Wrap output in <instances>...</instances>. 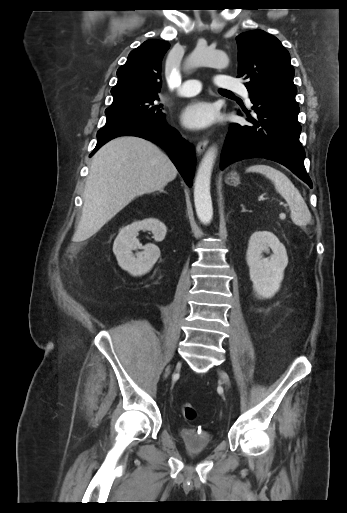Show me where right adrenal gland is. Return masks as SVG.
Returning <instances> with one entry per match:
<instances>
[{
	"label": "right adrenal gland",
	"instance_id": "right-adrenal-gland-1",
	"mask_svg": "<svg viewBox=\"0 0 347 513\" xmlns=\"http://www.w3.org/2000/svg\"><path fill=\"white\" fill-rule=\"evenodd\" d=\"M159 193H167V192H166V191H164V190H160V192H159Z\"/></svg>",
	"mask_w": 347,
	"mask_h": 513
}]
</instances>
